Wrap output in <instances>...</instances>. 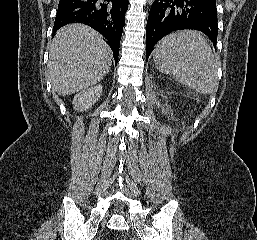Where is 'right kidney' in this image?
Segmentation results:
<instances>
[{"label": "right kidney", "mask_w": 257, "mask_h": 240, "mask_svg": "<svg viewBox=\"0 0 257 240\" xmlns=\"http://www.w3.org/2000/svg\"><path fill=\"white\" fill-rule=\"evenodd\" d=\"M102 86L97 85L78 93L73 99V107L77 111L88 110L100 98Z\"/></svg>", "instance_id": "obj_1"}]
</instances>
